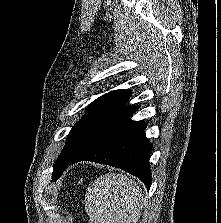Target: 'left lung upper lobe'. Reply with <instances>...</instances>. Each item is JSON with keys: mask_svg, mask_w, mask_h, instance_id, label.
Instances as JSON below:
<instances>
[{"mask_svg": "<svg viewBox=\"0 0 221 223\" xmlns=\"http://www.w3.org/2000/svg\"><path fill=\"white\" fill-rule=\"evenodd\" d=\"M131 95L129 90L111 91L93 101L87 113L70 131L67 142L57 159L52 181H56L80 153L89 147L107 128L134 106H125Z\"/></svg>", "mask_w": 221, "mask_h": 223, "instance_id": "5c2ea615", "label": "left lung upper lobe"}]
</instances>
